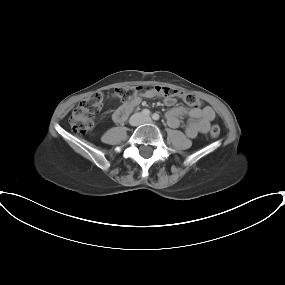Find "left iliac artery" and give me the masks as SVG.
Instances as JSON below:
<instances>
[{"mask_svg":"<svg viewBox=\"0 0 285 285\" xmlns=\"http://www.w3.org/2000/svg\"><path fill=\"white\" fill-rule=\"evenodd\" d=\"M152 118L157 121V120H159V115L157 113H154L152 115Z\"/></svg>","mask_w":285,"mask_h":285,"instance_id":"obj_1","label":"left iliac artery"}]
</instances>
